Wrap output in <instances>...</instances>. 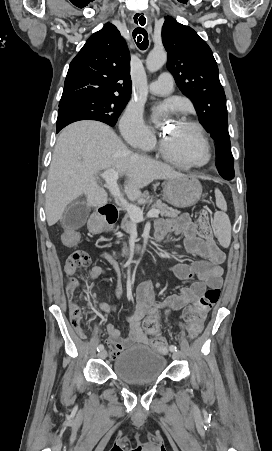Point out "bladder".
Returning a JSON list of instances; mask_svg holds the SVG:
<instances>
[{
	"instance_id": "31cf9c89",
	"label": "bladder",
	"mask_w": 272,
	"mask_h": 451,
	"mask_svg": "<svg viewBox=\"0 0 272 451\" xmlns=\"http://www.w3.org/2000/svg\"><path fill=\"white\" fill-rule=\"evenodd\" d=\"M166 366V357L147 346L135 345L120 353L113 362L114 376L124 383L149 384L156 382Z\"/></svg>"
}]
</instances>
